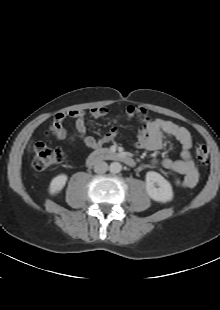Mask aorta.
Instances as JSON below:
<instances>
[{
  "label": "aorta",
  "instance_id": "1",
  "mask_svg": "<svg viewBox=\"0 0 220 310\" xmlns=\"http://www.w3.org/2000/svg\"><path fill=\"white\" fill-rule=\"evenodd\" d=\"M122 166L119 162H112L109 166V170L113 174H117L121 171Z\"/></svg>",
  "mask_w": 220,
  "mask_h": 310
}]
</instances>
